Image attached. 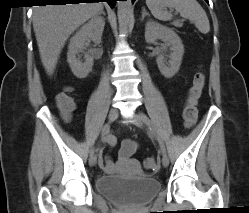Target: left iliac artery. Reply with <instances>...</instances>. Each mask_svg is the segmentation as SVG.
I'll list each match as a JSON object with an SVG mask.
<instances>
[{
	"label": "left iliac artery",
	"instance_id": "44dca946",
	"mask_svg": "<svg viewBox=\"0 0 249 213\" xmlns=\"http://www.w3.org/2000/svg\"><path fill=\"white\" fill-rule=\"evenodd\" d=\"M140 115H141V118L143 119V121L148 126L149 130L151 131V133L156 137L157 141L159 142V145H160V148L162 150V153L166 154L165 145H164L162 139L155 133V130H154L152 124H151L150 119L144 113H141Z\"/></svg>",
	"mask_w": 249,
	"mask_h": 213
}]
</instances>
